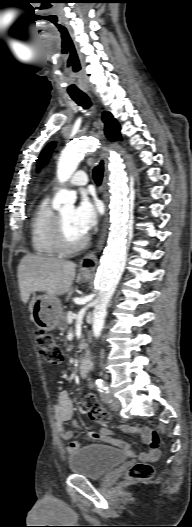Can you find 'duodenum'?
Masks as SVG:
<instances>
[{
	"instance_id": "duodenum-1",
	"label": "duodenum",
	"mask_w": 192,
	"mask_h": 527,
	"mask_svg": "<svg viewBox=\"0 0 192 527\" xmlns=\"http://www.w3.org/2000/svg\"><path fill=\"white\" fill-rule=\"evenodd\" d=\"M92 368V363L89 358L84 357L80 363H79V373L80 375L85 378L88 376L90 370Z\"/></svg>"
}]
</instances>
